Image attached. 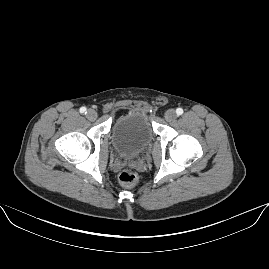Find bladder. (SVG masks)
<instances>
[{"label": "bladder", "instance_id": "31cf9c89", "mask_svg": "<svg viewBox=\"0 0 269 269\" xmlns=\"http://www.w3.org/2000/svg\"><path fill=\"white\" fill-rule=\"evenodd\" d=\"M151 120L141 111H128L112 123L110 136L117 152L126 157L136 158L152 138Z\"/></svg>", "mask_w": 269, "mask_h": 269}]
</instances>
